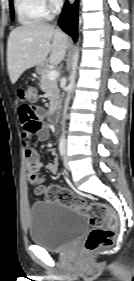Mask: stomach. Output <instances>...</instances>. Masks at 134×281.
<instances>
[{
	"mask_svg": "<svg viewBox=\"0 0 134 281\" xmlns=\"http://www.w3.org/2000/svg\"><path fill=\"white\" fill-rule=\"evenodd\" d=\"M43 70H44V66H43V65H38L37 68H36V71H37L38 73H40V72L43 71Z\"/></svg>",
	"mask_w": 134,
	"mask_h": 281,
	"instance_id": "1",
	"label": "stomach"
}]
</instances>
